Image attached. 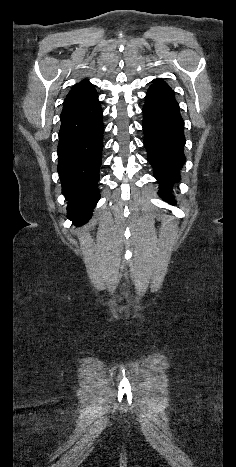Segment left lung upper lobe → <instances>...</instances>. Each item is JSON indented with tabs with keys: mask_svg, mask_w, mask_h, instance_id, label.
<instances>
[{
	"mask_svg": "<svg viewBox=\"0 0 236 467\" xmlns=\"http://www.w3.org/2000/svg\"><path fill=\"white\" fill-rule=\"evenodd\" d=\"M150 87L171 89V88L167 85V83H165V82H164L163 80H161L160 78L154 79V80H153V84H152Z\"/></svg>",
	"mask_w": 236,
	"mask_h": 467,
	"instance_id": "obj_1",
	"label": "left lung upper lobe"
}]
</instances>
